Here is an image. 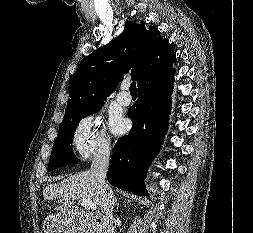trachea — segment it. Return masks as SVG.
I'll use <instances>...</instances> for the list:
<instances>
[{
  "label": "trachea",
  "instance_id": "1",
  "mask_svg": "<svg viewBox=\"0 0 253 233\" xmlns=\"http://www.w3.org/2000/svg\"><path fill=\"white\" fill-rule=\"evenodd\" d=\"M129 90H130V93H131V94H137V88H136V83H135V82H132V83L130 84Z\"/></svg>",
  "mask_w": 253,
  "mask_h": 233
}]
</instances>
